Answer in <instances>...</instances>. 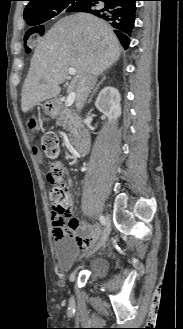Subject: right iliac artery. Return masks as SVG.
Wrapping results in <instances>:
<instances>
[{
  "label": "right iliac artery",
  "mask_w": 183,
  "mask_h": 329,
  "mask_svg": "<svg viewBox=\"0 0 183 329\" xmlns=\"http://www.w3.org/2000/svg\"><path fill=\"white\" fill-rule=\"evenodd\" d=\"M99 220H100V222H101L102 225H105L106 224V221H105L104 216L100 215L99 216Z\"/></svg>",
  "instance_id": "1"
}]
</instances>
